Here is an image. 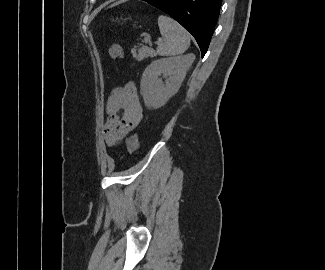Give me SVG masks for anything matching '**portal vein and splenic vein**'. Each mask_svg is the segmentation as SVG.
I'll use <instances>...</instances> for the list:
<instances>
[{
  "label": "portal vein and splenic vein",
  "instance_id": "obj_1",
  "mask_svg": "<svg viewBox=\"0 0 325 270\" xmlns=\"http://www.w3.org/2000/svg\"><path fill=\"white\" fill-rule=\"evenodd\" d=\"M163 42V39H159L156 41V44H160ZM145 43H148L149 45H152L151 39L150 38H145Z\"/></svg>",
  "mask_w": 325,
  "mask_h": 270
}]
</instances>
